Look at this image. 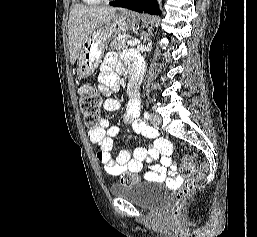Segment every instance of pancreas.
I'll list each match as a JSON object with an SVG mask.
<instances>
[{
	"mask_svg": "<svg viewBox=\"0 0 257 237\" xmlns=\"http://www.w3.org/2000/svg\"><path fill=\"white\" fill-rule=\"evenodd\" d=\"M127 38L119 39V40H114L110 44V49L111 50H121V49H127Z\"/></svg>",
	"mask_w": 257,
	"mask_h": 237,
	"instance_id": "obj_1",
	"label": "pancreas"
}]
</instances>
